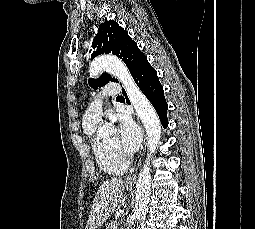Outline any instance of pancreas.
Segmentation results:
<instances>
[{"label": "pancreas", "instance_id": "1", "mask_svg": "<svg viewBox=\"0 0 255 229\" xmlns=\"http://www.w3.org/2000/svg\"><path fill=\"white\" fill-rule=\"evenodd\" d=\"M117 225V221H111L106 229H114V227Z\"/></svg>", "mask_w": 255, "mask_h": 229}]
</instances>
